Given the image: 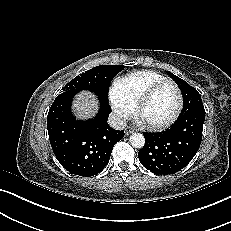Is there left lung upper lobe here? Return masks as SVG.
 <instances>
[{"label": "left lung upper lobe", "mask_w": 231, "mask_h": 231, "mask_svg": "<svg viewBox=\"0 0 231 231\" xmlns=\"http://www.w3.org/2000/svg\"><path fill=\"white\" fill-rule=\"evenodd\" d=\"M168 75L176 82L183 95V109L179 118L193 108L203 107L201 96L194 87L171 72H168ZM179 118L175 121L174 125L168 129L169 133L175 132L179 128Z\"/></svg>", "instance_id": "obj_1"}]
</instances>
